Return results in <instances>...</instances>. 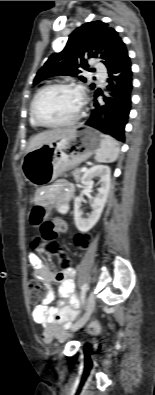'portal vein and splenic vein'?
<instances>
[{"label": "portal vein and splenic vein", "instance_id": "1", "mask_svg": "<svg viewBox=\"0 0 155 395\" xmlns=\"http://www.w3.org/2000/svg\"><path fill=\"white\" fill-rule=\"evenodd\" d=\"M86 170H87L86 167H82V168L80 169L81 172H85Z\"/></svg>", "mask_w": 155, "mask_h": 395}]
</instances>
